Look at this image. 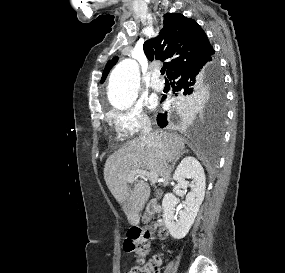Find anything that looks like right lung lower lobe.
<instances>
[{
	"mask_svg": "<svg viewBox=\"0 0 285 273\" xmlns=\"http://www.w3.org/2000/svg\"><path fill=\"white\" fill-rule=\"evenodd\" d=\"M215 59L213 56H207L187 64L174 71L168 78L172 80L173 93L180 92V95H190L198 90L209 77ZM178 94L176 93L175 96ZM164 99L162 98V101ZM193 102L180 105L184 110L191 108ZM169 119L167 113L157 116L158 125L163 128L167 126Z\"/></svg>",
	"mask_w": 285,
	"mask_h": 273,
	"instance_id": "1",
	"label": "right lung lower lobe"
}]
</instances>
